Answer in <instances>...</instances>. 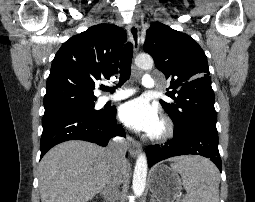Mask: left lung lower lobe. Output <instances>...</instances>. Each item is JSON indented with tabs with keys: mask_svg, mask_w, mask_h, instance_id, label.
Returning a JSON list of instances; mask_svg holds the SVG:
<instances>
[{
	"mask_svg": "<svg viewBox=\"0 0 255 202\" xmlns=\"http://www.w3.org/2000/svg\"><path fill=\"white\" fill-rule=\"evenodd\" d=\"M149 167L157 162L179 155H201L209 158L221 171V158L218 150L217 130L192 128L175 132L173 139L163 145H150L146 149Z\"/></svg>",
	"mask_w": 255,
	"mask_h": 202,
	"instance_id": "obj_1",
	"label": "left lung lower lobe"
}]
</instances>
